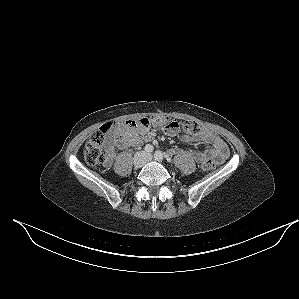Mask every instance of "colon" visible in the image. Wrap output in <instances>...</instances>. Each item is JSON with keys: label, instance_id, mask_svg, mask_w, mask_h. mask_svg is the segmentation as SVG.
<instances>
[{"label": "colon", "instance_id": "1", "mask_svg": "<svg viewBox=\"0 0 299 299\" xmlns=\"http://www.w3.org/2000/svg\"><path fill=\"white\" fill-rule=\"evenodd\" d=\"M127 124L132 128L149 129L152 127L167 133L177 132L179 129L178 122L165 116H151L139 120H130ZM116 125L115 122L106 123L93 133L84 149V159L87 164L94 166L104 162L103 146L110 132L116 128ZM183 129L190 135H196L202 130V127L196 121L189 120L183 124ZM214 166L215 164L211 161H205L201 164V168L204 171L212 170Z\"/></svg>", "mask_w": 299, "mask_h": 299}]
</instances>
